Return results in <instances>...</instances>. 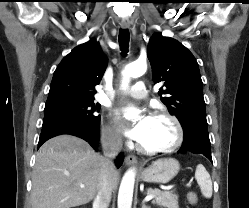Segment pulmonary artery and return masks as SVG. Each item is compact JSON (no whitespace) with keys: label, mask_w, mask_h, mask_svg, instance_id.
I'll return each instance as SVG.
<instances>
[{"label":"pulmonary artery","mask_w":249,"mask_h":208,"mask_svg":"<svg viewBox=\"0 0 249 208\" xmlns=\"http://www.w3.org/2000/svg\"><path fill=\"white\" fill-rule=\"evenodd\" d=\"M120 94L136 99H142L147 96L148 90L144 82L138 81L130 88L121 91Z\"/></svg>","instance_id":"e3ab8cb5"}]
</instances>
